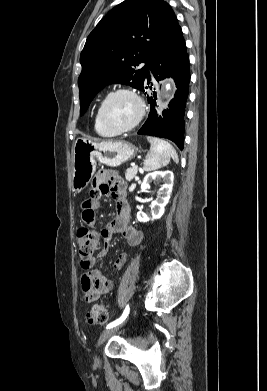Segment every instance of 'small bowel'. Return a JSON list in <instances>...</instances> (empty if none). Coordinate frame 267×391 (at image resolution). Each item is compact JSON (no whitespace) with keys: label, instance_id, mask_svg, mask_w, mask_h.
<instances>
[{"label":"small bowel","instance_id":"small-bowel-1","mask_svg":"<svg viewBox=\"0 0 267 391\" xmlns=\"http://www.w3.org/2000/svg\"><path fill=\"white\" fill-rule=\"evenodd\" d=\"M111 195L116 203V217L101 229L105 244L98 255L85 265L81 262V290L86 302H94L114 288V283L99 269H93L98 260L103 259L109 251L110 241L114 234H121L128 247L137 246L143 239V233L130 224V205L126 197V185L119 175L112 170H100L94 177L89 197L81 204L82 221L93 227L96 223V210L100 206V197ZM127 260V253L121 252L114 261V268L121 270Z\"/></svg>","mask_w":267,"mask_h":391}]
</instances>
